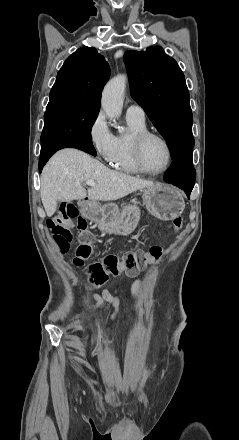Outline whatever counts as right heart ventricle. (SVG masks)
<instances>
[{
	"instance_id": "e07e8e85",
	"label": "right heart ventricle",
	"mask_w": 239,
	"mask_h": 440,
	"mask_svg": "<svg viewBox=\"0 0 239 440\" xmlns=\"http://www.w3.org/2000/svg\"><path fill=\"white\" fill-rule=\"evenodd\" d=\"M128 121L131 131L128 134H122L117 137V151L111 164L114 168L124 173L140 174L141 172L137 168L132 156L131 141L137 132L146 129V124L145 122H137L131 119H128Z\"/></svg>"
}]
</instances>
